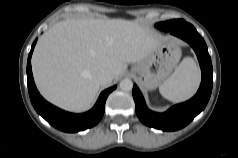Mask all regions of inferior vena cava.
<instances>
[{
  "mask_svg": "<svg viewBox=\"0 0 238 158\" xmlns=\"http://www.w3.org/2000/svg\"><path fill=\"white\" fill-rule=\"evenodd\" d=\"M96 79L100 85L108 86L112 81V75L108 70L102 69L96 74Z\"/></svg>",
  "mask_w": 238,
  "mask_h": 158,
  "instance_id": "602c4592",
  "label": "inferior vena cava"
}]
</instances>
